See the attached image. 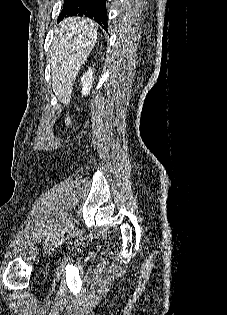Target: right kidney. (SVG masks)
Here are the masks:
<instances>
[{"label":"right kidney","instance_id":"ca27d5eb","mask_svg":"<svg viewBox=\"0 0 227 315\" xmlns=\"http://www.w3.org/2000/svg\"><path fill=\"white\" fill-rule=\"evenodd\" d=\"M93 70L91 68L88 69V71L83 74L81 78V84H82V94L87 95L90 93V89L92 87V81H93Z\"/></svg>","mask_w":227,"mask_h":315}]
</instances>
